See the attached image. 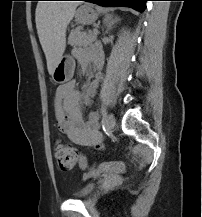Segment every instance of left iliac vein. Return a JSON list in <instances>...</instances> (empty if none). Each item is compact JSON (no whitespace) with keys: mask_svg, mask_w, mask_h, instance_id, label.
Wrapping results in <instances>:
<instances>
[{"mask_svg":"<svg viewBox=\"0 0 202 217\" xmlns=\"http://www.w3.org/2000/svg\"><path fill=\"white\" fill-rule=\"evenodd\" d=\"M115 124H116V121L112 114H109L108 116H106L105 127L108 131H111L112 129H114Z\"/></svg>","mask_w":202,"mask_h":217,"instance_id":"4c4485c4","label":"left iliac vein"}]
</instances>
